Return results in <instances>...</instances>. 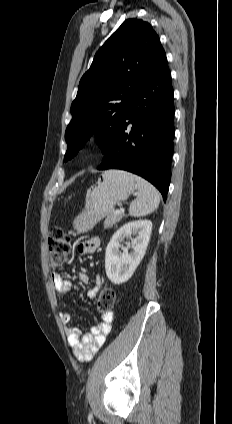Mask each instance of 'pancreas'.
I'll return each mask as SVG.
<instances>
[{
  "label": "pancreas",
  "mask_w": 232,
  "mask_h": 424,
  "mask_svg": "<svg viewBox=\"0 0 232 424\" xmlns=\"http://www.w3.org/2000/svg\"><path fill=\"white\" fill-rule=\"evenodd\" d=\"M123 213H117L116 210H113L110 214L107 215V218L104 221V228H111L113 225L121 221L123 218Z\"/></svg>",
  "instance_id": "1"
}]
</instances>
